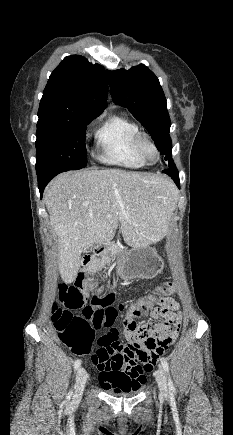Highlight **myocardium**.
<instances>
[{
  "mask_svg": "<svg viewBox=\"0 0 233 435\" xmlns=\"http://www.w3.org/2000/svg\"><path fill=\"white\" fill-rule=\"evenodd\" d=\"M137 146L143 160L150 165L156 164L160 158V151L156 143L145 133H140L137 137ZM152 149L156 155V159L152 161L149 158L148 151Z\"/></svg>",
  "mask_w": 233,
  "mask_h": 435,
  "instance_id": "myocardium-1",
  "label": "myocardium"
}]
</instances>
